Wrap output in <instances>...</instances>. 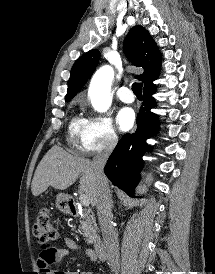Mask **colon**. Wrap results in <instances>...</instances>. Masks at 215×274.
Wrapping results in <instances>:
<instances>
[{
    "label": "colon",
    "mask_w": 215,
    "mask_h": 274,
    "mask_svg": "<svg viewBox=\"0 0 215 274\" xmlns=\"http://www.w3.org/2000/svg\"><path fill=\"white\" fill-rule=\"evenodd\" d=\"M33 232L42 245L52 246V242L57 239V231L51 222L48 210L42 209L38 213Z\"/></svg>",
    "instance_id": "1"
}]
</instances>
